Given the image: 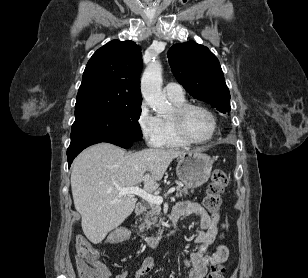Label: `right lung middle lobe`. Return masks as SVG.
Segmentation results:
<instances>
[{"label": "right lung middle lobe", "mask_w": 308, "mask_h": 278, "mask_svg": "<svg viewBox=\"0 0 308 278\" xmlns=\"http://www.w3.org/2000/svg\"><path fill=\"white\" fill-rule=\"evenodd\" d=\"M140 114L141 105L75 115L71 129V142L98 138L138 141L142 138L138 123Z\"/></svg>", "instance_id": "right-lung-middle-lobe-1"}]
</instances>
